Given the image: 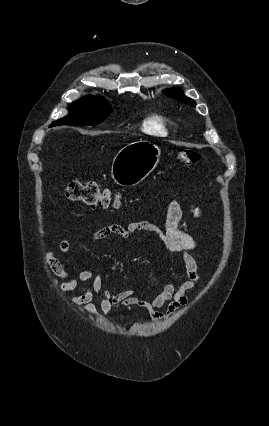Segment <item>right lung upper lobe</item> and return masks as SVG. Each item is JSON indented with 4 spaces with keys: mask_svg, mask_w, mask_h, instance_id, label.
Segmentation results:
<instances>
[{
    "mask_svg": "<svg viewBox=\"0 0 269 426\" xmlns=\"http://www.w3.org/2000/svg\"><path fill=\"white\" fill-rule=\"evenodd\" d=\"M84 98H96V97H94V96H87V97H84Z\"/></svg>",
    "mask_w": 269,
    "mask_h": 426,
    "instance_id": "cb5924a9",
    "label": "right lung upper lobe"
}]
</instances>
